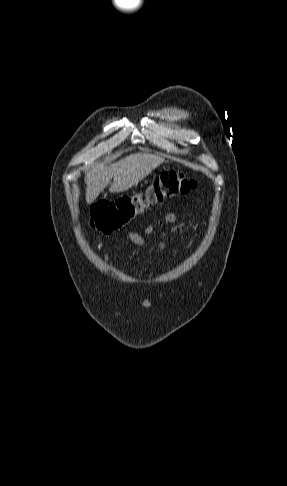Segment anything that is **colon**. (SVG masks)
I'll return each mask as SVG.
<instances>
[{
    "mask_svg": "<svg viewBox=\"0 0 287 486\" xmlns=\"http://www.w3.org/2000/svg\"><path fill=\"white\" fill-rule=\"evenodd\" d=\"M196 187L195 180L179 171L164 172L144 192L95 203L91 209V226L101 233L110 234L128 224L150 205L186 195Z\"/></svg>",
    "mask_w": 287,
    "mask_h": 486,
    "instance_id": "obj_1",
    "label": "colon"
}]
</instances>
